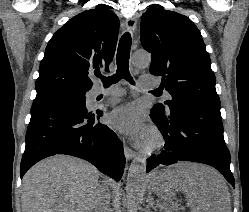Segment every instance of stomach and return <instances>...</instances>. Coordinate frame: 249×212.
Returning a JSON list of instances; mask_svg holds the SVG:
<instances>
[{"label":"stomach","mask_w":249,"mask_h":212,"mask_svg":"<svg viewBox=\"0 0 249 212\" xmlns=\"http://www.w3.org/2000/svg\"><path fill=\"white\" fill-rule=\"evenodd\" d=\"M152 193H163V198H171V193H175L176 184H162V179H155Z\"/></svg>","instance_id":"0dacf381"}]
</instances>
